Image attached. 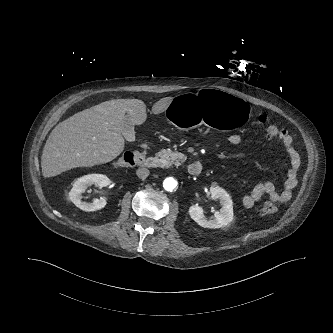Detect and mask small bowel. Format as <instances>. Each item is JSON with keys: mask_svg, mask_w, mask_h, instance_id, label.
Masks as SVG:
<instances>
[{"mask_svg": "<svg viewBox=\"0 0 333 333\" xmlns=\"http://www.w3.org/2000/svg\"><path fill=\"white\" fill-rule=\"evenodd\" d=\"M270 138L279 140L288 154L290 167L287 170L286 181L284 182L282 191H278L275 185L271 182H261L256 184L253 190L242 199V203L246 208H252L263 196L269 197L275 202H286L291 198L292 191L297 185V173L301 160L298 151L294 147L293 136L288 130L278 128V133ZM228 141L231 145H239L242 138L239 134L234 133L229 136ZM234 178L240 180L241 175L239 173H234Z\"/></svg>", "mask_w": 333, "mask_h": 333, "instance_id": "small-bowel-1", "label": "small bowel"}]
</instances>
